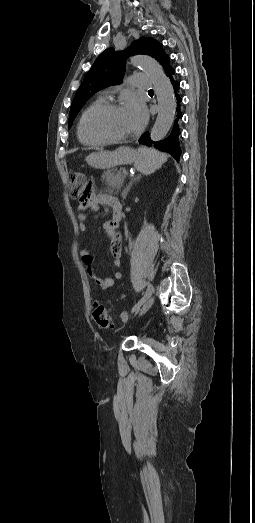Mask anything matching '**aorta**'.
<instances>
[{
	"mask_svg": "<svg viewBox=\"0 0 255 523\" xmlns=\"http://www.w3.org/2000/svg\"><path fill=\"white\" fill-rule=\"evenodd\" d=\"M133 66L140 67L152 80L158 101V115L152 127L150 137L153 141L163 139L170 130L176 112L173 87L161 65L146 55H137L130 59Z\"/></svg>",
	"mask_w": 255,
	"mask_h": 523,
	"instance_id": "1",
	"label": "aorta"
}]
</instances>
